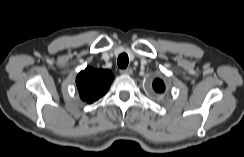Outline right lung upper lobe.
Wrapping results in <instances>:
<instances>
[{
	"mask_svg": "<svg viewBox=\"0 0 244 157\" xmlns=\"http://www.w3.org/2000/svg\"><path fill=\"white\" fill-rule=\"evenodd\" d=\"M114 79L110 70L87 67L76 78L79 95L87 103H93L102 97Z\"/></svg>",
	"mask_w": 244,
	"mask_h": 157,
	"instance_id": "1",
	"label": "right lung upper lobe"
}]
</instances>
